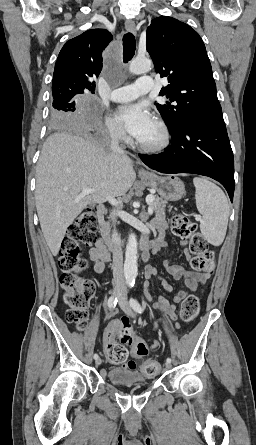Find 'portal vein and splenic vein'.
Returning a JSON list of instances; mask_svg holds the SVG:
<instances>
[{
	"instance_id": "1",
	"label": "portal vein and splenic vein",
	"mask_w": 256,
	"mask_h": 445,
	"mask_svg": "<svg viewBox=\"0 0 256 445\" xmlns=\"http://www.w3.org/2000/svg\"><path fill=\"white\" fill-rule=\"evenodd\" d=\"M93 192H95L94 189H91V188H84V189L81 191L80 196L83 197V196L89 195V194H91V193H93ZM106 200H107L110 204H112V205H114V206H118V205H119V202H118L113 196H108V197H106ZM153 200H154V197H152V196H149V197H147V199H146L147 203L150 205L149 208H148V213H149V215H152V214H153V211H154V208L152 207Z\"/></svg>"
}]
</instances>
